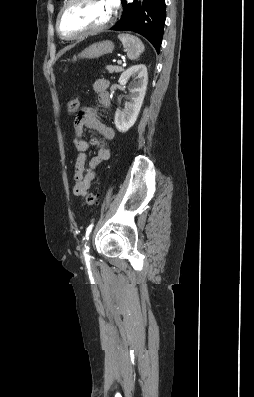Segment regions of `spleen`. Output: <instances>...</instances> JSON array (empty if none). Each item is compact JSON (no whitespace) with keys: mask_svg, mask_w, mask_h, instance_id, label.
<instances>
[{"mask_svg":"<svg viewBox=\"0 0 254 397\" xmlns=\"http://www.w3.org/2000/svg\"><path fill=\"white\" fill-rule=\"evenodd\" d=\"M118 38L122 42L128 58L131 60L138 59L141 53L145 50L142 41L134 35L119 34Z\"/></svg>","mask_w":254,"mask_h":397,"instance_id":"spleen-1","label":"spleen"}]
</instances>
